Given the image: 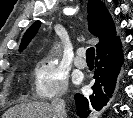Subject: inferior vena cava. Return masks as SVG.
<instances>
[{"instance_id":"inferior-vena-cava-1","label":"inferior vena cava","mask_w":133,"mask_h":118,"mask_svg":"<svg viewBox=\"0 0 133 118\" xmlns=\"http://www.w3.org/2000/svg\"><path fill=\"white\" fill-rule=\"evenodd\" d=\"M56 118H66L65 102L61 98H56L51 104Z\"/></svg>"}]
</instances>
